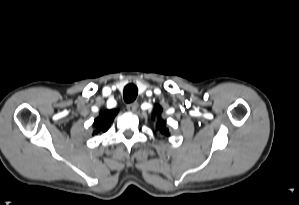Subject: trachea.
<instances>
[{"mask_svg":"<svg viewBox=\"0 0 299 205\" xmlns=\"http://www.w3.org/2000/svg\"><path fill=\"white\" fill-rule=\"evenodd\" d=\"M138 95V88L134 84H128L124 88L123 97L126 103H132Z\"/></svg>","mask_w":299,"mask_h":205,"instance_id":"trachea-1","label":"trachea"}]
</instances>
